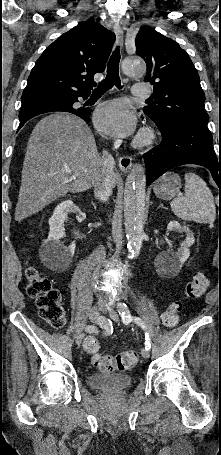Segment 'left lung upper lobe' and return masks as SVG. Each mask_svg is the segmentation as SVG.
Instances as JSON below:
<instances>
[{"label":"left lung upper lobe","mask_w":221,"mask_h":455,"mask_svg":"<svg viewBox=\"0 0 221 455\" xmlns=\"http://www.w3.org/2000/svg\"><path fill=\"white\" fill-rule=\"evenodd\" d=\"M135 44L136 54L147 65L144 81L154 86L153 101L144 107V113L164 131L184 122L207 126L205 95L186 51L148 27L138 32Z\"/></svg>","instance_id":"5c2ea615"}]
</instances>
